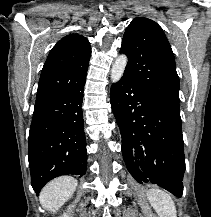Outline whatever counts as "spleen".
<instances>
[{
    "instance_id": "spleen-1",
    "label": "spleen",
    "mask_w": 211,
    "mask_h": 217,
    "mask_svg": "<svg viewBox=\"0 0 211 217\" xmlns=\"http://www.w3.org/2000/svg\"><path fill=\"white\" fill-rule=\"evenodd\" d=\"M147 199L159 217H177V211L171 196L159 189L147 191Z\"/></svg>"
}]
</instances>
